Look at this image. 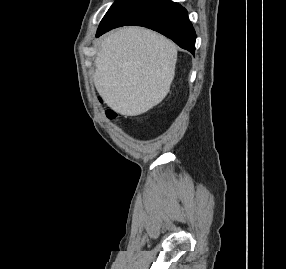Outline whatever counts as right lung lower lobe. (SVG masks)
Instances as JSON below:
<instances>
[{"label": "right lung lower lobe", "mask_w": 286, "mask_h": 269, "mask_svg": "<svg viewBox=\"0 0 286 269\" xmlns=\"http://www.w3.org/2000/svg\"><path fill=\"white\" fill-rule=\"evenodd\" d=\"M125 25L143 26L155 30L173 40L192 54L195 52V30L185 8L171 0H162L130 20ZM111 29L97 31L99 37Z\"/></svg>", "instance_id": "right-lung-lower-lobe-1"}]
</instances>
